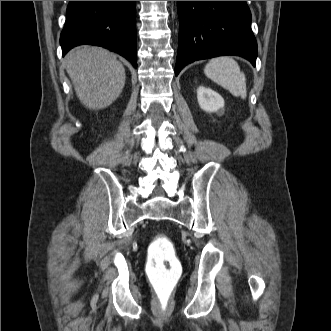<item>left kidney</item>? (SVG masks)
Listing matches in <instances>:
<instances>
[{
    "instance_id": "1",
    "label": "left kidney",
    "mask_w": 331,
    "mask_h": 331,
    "mask_svg": "<svg viewBox=\"0 0 331 331\" xmlns=\"http://www.w3.org/2000/svg\"><path fill=\"white\" fill-rule=\"evenodd\" d=\"M197 99L200 107L206 112H216L224 107L223 98L210 88L200 86L197 90Z\"/></svg>"
}]
</instances>
